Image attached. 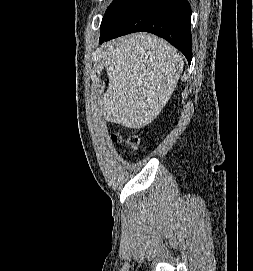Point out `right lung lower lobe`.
Returning a JSON list of instances; mask_svg holds the SVG:
<instances>
[{
  "label": "right lung lower lobe",
  "instance_id": "1",
  "mask_svg": "<svg viewBox=\"0 0 253 271\" xmlns=\"http://www.w3.org/2000/svg\"><path fill=\"white\" fill-rule=\"evenodd\" d=\"M191 7L187 0H135L100 43L132 32L146 31L164 38L192 60Z\"/></svg>",
  "mask_w": 253,
  "mask_h": 271
}]
</instances>
